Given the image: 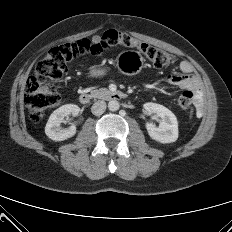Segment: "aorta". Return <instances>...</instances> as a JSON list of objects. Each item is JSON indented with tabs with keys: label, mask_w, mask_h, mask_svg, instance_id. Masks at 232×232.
<instances>
[{
	"label": "aorta",
	"mask_w": 232,
	"mask_h": 232,
	"mask_svg": "<svg viewBox=\"0 0 232 232\" xmlns=\"http://www.w3.org/2000/svg\"><path fill=\"white\" fill-rule=\"evenodd\" d=\"M119 107H120V104H119V102L117 100H111L108 103V109L110 111H113V112L117 111V110H119Z\"/></svg>",
	"instance_id": "762f6f07"
}]
</instances>
